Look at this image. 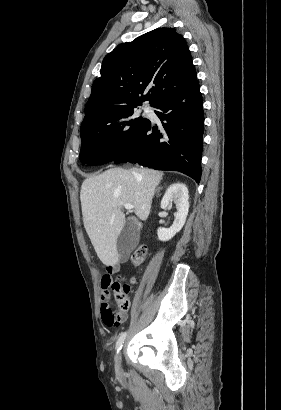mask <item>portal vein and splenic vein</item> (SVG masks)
<instances>
[{"label": "portal vein and splenic vein", "mask_w": 281, "mask_h": 410, "mask_svg": "<svg viewBox=\"0 0 281 410\" xmlns=\"http://www.w3.org/2000/svg\"><path fill=\"white\" fill-rule=\"evenodd\" d=\"M122 206H123L125 209H127V210H131V209L134 208V206L131 205V204H129V203H124V204H122Z\"/></svg>", "instance_id": "portal-vein-and-splenic-vein-1"}]
</instances>
